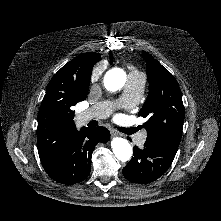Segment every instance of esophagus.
<instances>
[{
	"instance_id": "esophagus-1",
	"label": "esophagus",
	"mask_w": 221,
	"mask_h": 221,
	"mask_svg": "<svg viewBox=\"0 0 221 221\" xmlns=\"http://www.w3.org/2000/svg\"><path fill=\"white\" fill-rule=\"evenodd\" d=\"M112 136H122V134L117 131H113Z\"/></svg>"
}]
</instances>
